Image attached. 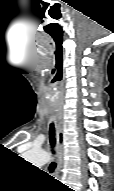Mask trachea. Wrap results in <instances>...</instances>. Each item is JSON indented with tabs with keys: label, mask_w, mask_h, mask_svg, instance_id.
<instances>
[{
	"label": "trachea",
	"mask_w": 114,
	"mask_h": 191,
	"mask_svg": "<svg viewBox=\"0 0 114 191\" xmlns=\"http://www.w3.org/2000/svg\"><path fill=\"white\" fill-rule=\"evenodd\" d=\"M49 141H50V145H51V150L52 153L54 154V147L56 145V138H55V126L54 123L50 124V129H49ZM56 168V163L55 162H51V164L49 165V171L50 173H52Z\"/></svg>",
	"instance_id": "obj_1"
}]
</instances>
